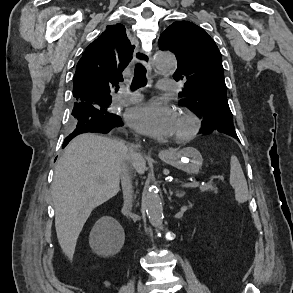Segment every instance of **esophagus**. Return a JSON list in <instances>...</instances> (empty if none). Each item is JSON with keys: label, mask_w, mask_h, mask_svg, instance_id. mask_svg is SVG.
<instances>
[{"label": "esophagus", "mask_w": 293, "mask_h": 293, "mask_svg": "<svg viewBox=\"0 0 293 293\" xmlns=\"http://www.w3.org/2000/svg\"><path fill=\"white\" fill-rule=\"evenodd\" d=\"M134 59L137 62L144 64L147 67V69L149 71H151V69H152V67H151V55H150L149 52H145V51H142V50L138 49V50L135 51ZM168 155H170V152L168 150H166V149L159 151V156H161V157L168 156Z\"/></svg>", "instance_id": "obj_1"}]
</instances>
